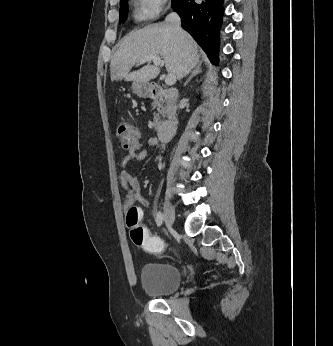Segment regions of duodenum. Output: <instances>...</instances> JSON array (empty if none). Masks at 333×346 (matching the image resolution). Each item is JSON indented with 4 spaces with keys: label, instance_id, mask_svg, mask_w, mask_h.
<instances>
[{
    "label": "duodenum",
    "instance_id": "duodenum-1",
    "mask_svg": "<svg viewBox=\"0 0 333 346\" xmlns=\"http://www.w3.org/2000/svg\"><path fill=\"white\" fill-rule=\"evenodd\" d=\"M179 95V91L176 89H166L158 85H152L150 87V97L152 99H165L169 101L166 111L170 115V120L160 125L157 129V136L161 142L168 141L176 131L179 120L176 113L175 101L178 99Z\"/></svg>",
    "mask_w": 333,
    "mask_h": 346
}]
</instances>
